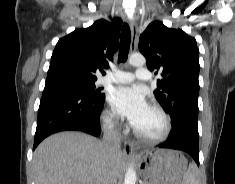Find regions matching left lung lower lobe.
Here are the masks:
<instances>
[{"instance_id":"obj_1","label":"left lung lower lobe","mask_w":235,"mask_h":184,"mask_svg":"<svg viewBox=\"0 0 235 184\" xmlns=\"http://www.w3.org/2000/svg\"><path fill=\"white\" fill-rule=\"evenodd\" d=\"M188 153L199 165L198 127L189 121L173 126L169 139L159 146Z\"/></svg>"}]
</instances>
